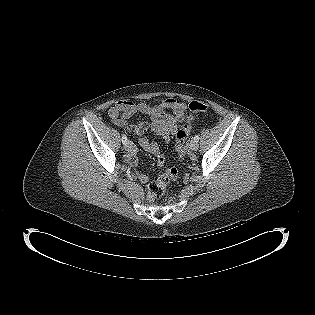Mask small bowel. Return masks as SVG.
Instances as JSON below:
<instances>
[{"label":"small bowel","mask_w":315,"mask_h":315,"mask_svg":"<svg viewBox=\"0 0 315 315\" xmlns=\"http://www.w3.org/2000/svg\"><path fill=\"white\" fill-rule=\"evenodd\" d=\"M186 109L187 106L185 103L174 98L162 99L156 104L145 101L133 103L127 100H120L110 107L108 115L113 124L118 127H125L128 135L131 137L143 135L146 133L147 129L150 128L165 142H168L170 135L176 133L177 125L184 120ZM138 112L148 115L152 120L151 124L141 122L133 126L130 125L129 119ZM139 143L145 151L155 155L158 164L163 166L165 155L157 143L151 142L145 137H142ZM127 161L131 166L137 165L138 159L135 148L128 154ZM137 177L140 182L144 184L148 183L150 180L148 175L142 173H138Z\"/></svg>","instance_id":"1"}]
</instances>
